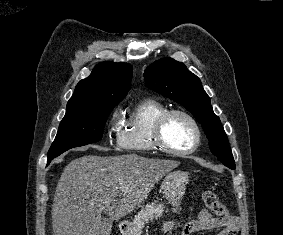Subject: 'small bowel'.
<instances>
[{
	"label": "small bowel",
	"mask_w": 283,
	"mask_h": 235,
	"mask_svg": "<svg viewBox=\"0 0 283 235\" xmlns=\"http://www.w3.org/2000/svg\"><path fill=\"white\" fill-rule=\"evenodd\" d=\"M173 227L172 222H167L164 225V230L168 231ZM240 227V222L237 218L218 219L213 217L208 211H202L197 218L186 223L182 230L181 235H191L195 232L205 230H216L219 232L217 235H237Z\"/></svg>",
	"instance_id": "obj_1"
}]
</instances>
